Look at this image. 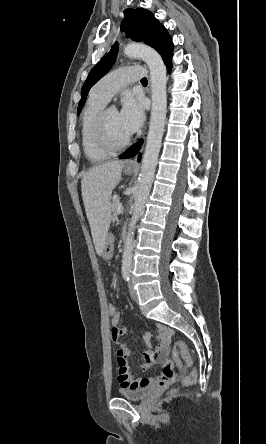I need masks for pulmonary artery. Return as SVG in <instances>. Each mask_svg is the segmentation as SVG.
Segmentation results:
<instances>
[{
	"label": "pulmonary artery",
	"mask_w": 266,
	"mask_h": 444,
	"mask_svg": "<svg viewBox=\"0 0 266 444\" xmlns=\"http://www.w3.org/2000/svg\"><path fill=\"white\" fill-rule=\"evenodd\" d=\"M147 70L143 66H123L105 75L92 89V93L109 102L127 84L143 78Z\"/></svg>",
	"instance_id": "e3ab8cb5"
}]
</instances>
